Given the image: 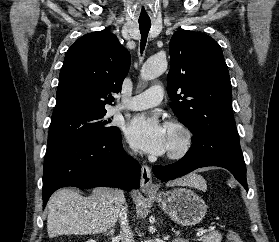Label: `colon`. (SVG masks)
I'll list each match as a JSON object with an SVG mask.
<instances>
[{
    "instance_id": "obj_1",
    "label": "colon",
    "mask_w": 279,
    "mask_h": 242,
    "mask_svg": "<svg viewBox=\"0 0 279 242\" xmlns=\"http://www.w3.org/2000/svg\"><path fill=\"white\" fill-rule=\"evenodd\" d=\"M228 242H244L242 238L232 229L227 231Z\"/></svg>"
}]
</instances>
